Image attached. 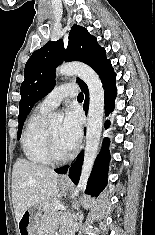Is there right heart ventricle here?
I'll return each instance as SVG.
<instances>
[{"mask_svg": "<svg viewBox=\"0 0 155 235\" xmlns=\"http://www.w3.org/2000/svg\"><path fill=\"white\" fill-rule=\"evenodd\" d=\"M46 113L38 108L29 116L21 139L26 159L36 165L50 162L46 153Z\"/></svg>", "mask_w": 155, "mask_h": 235, "instance_id": "right-heart-ventricle-1", "label": "right heart ventricle"}]
</instances>
